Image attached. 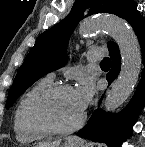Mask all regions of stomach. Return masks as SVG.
<instances>
[{
    "label": "stomach",
    "mask_w": 145,
    "mask_h": 147,
    "mask_svg": "<svg viewBox=\"0 0 145 147\" xmlns=\"http://www.w3.org/2000/svg\"><path fill=\"white\" fill-rule=\"evenodd\" d=\"M62 147H81V145L78 142H74L71 140H67Z\"/></svg>",
    "instance_id": "0dacf381"
}]
</instances>
